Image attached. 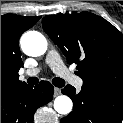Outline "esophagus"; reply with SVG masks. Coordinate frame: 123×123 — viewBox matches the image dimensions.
Wrapping results in <instances>:
<instances>
[{
	"label": "esophagus",
	"mask_w": 123,
	"mask_h": 123,
	"mask_svg": "<svg viewBox=\"0 0 123 123\" xmlns=\"http://www.w3.org/2000/svg\"><path fill=\"white\" fill-rule=\"evenodd\" d=\"M61 94V89L58 87L54 88V97H57Z\"/></svg>",
	"instance_id": "1"
}]
</instances>
